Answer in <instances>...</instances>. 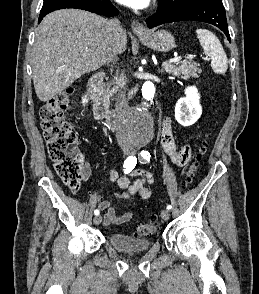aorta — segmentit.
I'll return each instance as SVG.
<instances>
[{
	"instance_id": "1",
	"label": "aorta",
	"mask_w": 259,
	"mask_h": 294,
	"mask_svg": "<svg viewBox=\"0 0 259 294\" xmlns=\"http://www.w3.org/2000/svg\"><path fill=\"white\" fill-rule=\"evenodd\" d=\"M155 94V85L147 81L142 86V97L151 101ZM153 118L145 107L135 108L126 113L122 121L124 133L135 142H148L153 137Z\"/></svg>"
}]
</instances>
